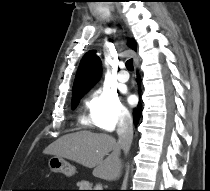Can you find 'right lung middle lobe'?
Masks as SVG:
<instances>
[{
	"label": "right lung middle lobe",
	"instance_id": "obj_1",
	"mask_svg": "<svg viewBox=\"0 0 210 191\" xmlns=\"http://www.w3.org/2000/svg\"><path fill=\"white\" fill-rule=\"evenodd\" d=\"M82 96H83V94L72 99V104H71L72 109L76 108V106Z\"/></svg>",
	"mask_w": 210,
	"mask_h": 191
}]
</instances>
